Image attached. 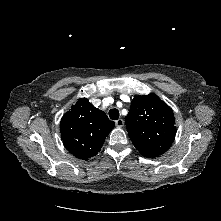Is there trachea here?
Masks as SVG:
<instances>
[{"label":"trachea","mask_w":221,"mask_h":221,"mask_svg":"<svg viewBox=\"0 0 221 221\" xmlns=\"http://www.w3.org/2000/svg\"><path fill=\"white\" fill-rule=\"evenodd\" d=\"M109 117L112 120H117L119 118V111L117 109H111L109 111Z\"/></svg>","instance_id":"obj_1"}]
</instances>
